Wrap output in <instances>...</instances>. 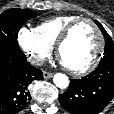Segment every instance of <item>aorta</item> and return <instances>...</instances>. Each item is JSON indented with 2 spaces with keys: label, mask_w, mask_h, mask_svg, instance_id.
I'll return each instance as SVG.
<instances>
[{
  "label": "aorta",
  "mask_w": 114,
  "mask_h": 114,
  "mask_svg": "<svg viewBox=\"0 0 114 114\" xmlns=\"http://www.w3.org/2000/svg\"><path fill=\"white\" fill-rule=\"evenodd\" d=\"M53 81L58 88L64 89L69 85V79L65 74L57 73L53 77Z\"/></svg>",
  "instance_id": "1"
}]
</instances>
